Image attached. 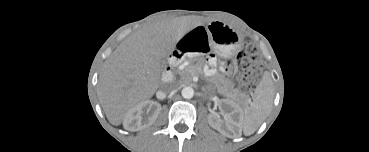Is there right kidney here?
I'll return each mask as SVG.
<instances>
[{
  "instance_id": "ca27d5eb",
  "label": "right kidney",
  "mask_w": 369,
  "mask_h": 152,
  "mask_svg": "<svg viewBox=\"0 0 369 152\" xmlns=\"http://www.w3.org/2000/svg\"><path fill=\"white\" fill-rule=\"evenodd\" d=\"M161 105L158 102L146 100L131 108L124 119L129 131H139L151 126L158 118Z\"/></svg>"
}]
</instances>
